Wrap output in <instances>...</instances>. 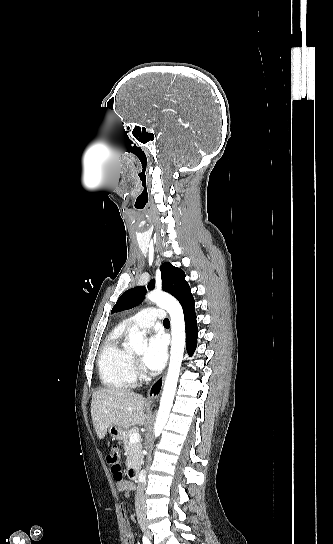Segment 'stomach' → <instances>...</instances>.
I'll use <instances>...</instances> for the list:
<instances>
[{"label":"stomach","mask_w":333,"mask_h":544,"mask_svg":"<svg viewBox=\"0 0 333 544\" xmlns=\"http://www.w3.org/2000/svg\"><path fill=\"white\" fill-rule=\"evenodd\" d=\"M108 431L113 439L120 440L124 436L126 429L117 425H110Z\"/></svg>","instance_id":"1"}]
</instances>
